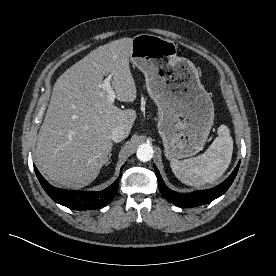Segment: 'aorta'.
<instances>
[{"instance_id": "aorta-1", "label": "aorta", "mask_w": 276, "mask_h": 276, "mask_svg": "<svg viewBox=\"0 0 276 276\" xmlns=\"http://www.w3.org/2000/svg\"><path fill=\"white\" fill-rule=\"evenodd\" d=\"M153 148L150 144H141L137 149V158L142 162H148L153 157Z\"/></svg>"}]
</instances>
